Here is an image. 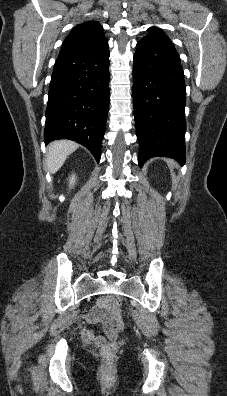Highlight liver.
<instances>
[{"instance_id":"liver-1","label":"liver","mask_w":227,"mask_h":396,"mask_svg":"<svg viewBox=\"0 0 227 396\" xmlns=\"http://www.w3.org/2000/svg\"><path fill=\"white\" fill-rule=\"evenodd\" d=\"M78 144L70 140H58L48 146L47 168L52 174L56 173L64 164L66 158L73 153Z\"/></svg>"}]
</instances>
